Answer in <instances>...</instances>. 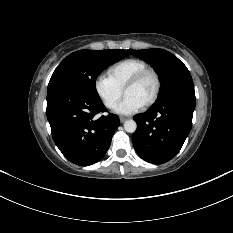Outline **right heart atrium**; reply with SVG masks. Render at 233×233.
Segmentation results:
<instances>
[{"label":"right heart atrium","instance_id":"1","mask_svg":"<svg viewBox=\"0 0 233 233\" xmlns=\"http://www.w3.org/2000/svg\"><path fill=\"white\" fill-rule=\"evenodd\" d=\"M94 90L103 105L114 108L123 95V90L107 75L100 74L94 80Z\"/></svg>","mask_w":233,"mask_h":233}]
</instances>
